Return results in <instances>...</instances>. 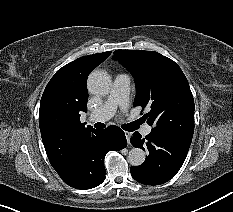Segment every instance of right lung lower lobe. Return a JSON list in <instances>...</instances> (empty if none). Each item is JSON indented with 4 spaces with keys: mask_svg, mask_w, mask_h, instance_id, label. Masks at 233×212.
I'll return each mask as SVG.
<instances>
[{
    "mask_svg": "<svg viewBox=\"0 0 233 212\" xmlns=\"http://www.w3.org/2000/svg\"><path fill=\"white\" fill-rule=\"evenodd\" d=\"M126 146L125 134L119 127L96 130L86 139L82 151L57 173L73 188H94L105 180L104 158L107 152L118 151Z\"/></svg>",
    "mask_w": 233,
    "mask_h": 212,
    "instance_id": "obj_1",
    "label": "right lung lower lobe"
}]
</instances>
